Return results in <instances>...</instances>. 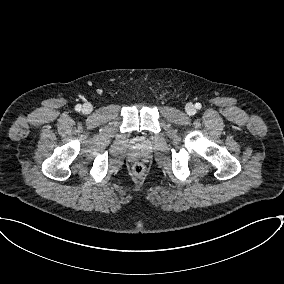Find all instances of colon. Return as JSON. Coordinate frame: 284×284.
<instances>
[{
  "mask_svg": "<svg viewBox=\"0 0 284 284\" xmlns=\"http://www.w3.org/2000/svg\"><path fill=\"white\" fill-rule=\"evenodd\" d=\"M145 171V167L142 163H136L134 164L133 166V172L136 174V175H142Z\"/></svg>",
  "mask_w": 284,
  "mask_h": 284,
  "instance_id": "1",
  "label": "colon"
}]
</instances>
